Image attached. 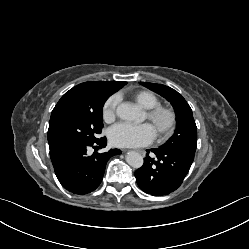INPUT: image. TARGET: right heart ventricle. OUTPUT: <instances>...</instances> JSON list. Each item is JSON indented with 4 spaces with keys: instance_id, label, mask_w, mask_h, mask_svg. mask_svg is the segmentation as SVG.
I'll use <instances>...</instances> for the list:
<instances>
[{
    "instance_id": "right-heart-ventricle-1",
    "label": "right heart ventricle",
    "mask_w": 249,
    "mask_h": 249,
    "mask_svg": "<svg viewBox=\"0 0 249 249\" xmlns=\"http://www.w3.org/2000/svg\"><path fill=\"white\" fill-rule=\"evenodd\" d=\"M131 97L143 108L151 109L160 104L159 98L151 91L140 90L133 92Z\"/></svg>"
}]
</instances>
